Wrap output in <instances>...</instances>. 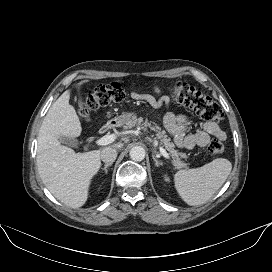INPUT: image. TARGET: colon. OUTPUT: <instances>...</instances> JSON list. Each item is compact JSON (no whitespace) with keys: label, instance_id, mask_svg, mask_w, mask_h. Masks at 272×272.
Returning <instances> with one entry per match:
<instances>
[{"label":"colon","instance_id":"obj_1","mask_svg":"<svg viewBox=\"0 0 272 272\" xmlns=\"http://www.w3.org/2000/svg\"><path fill=\"white\" fill-rule=\"evenodd\" d=\"M172 94L177 102L192 109L205 120L220 121L223 118L222 109L216 102L185 82L176 83ZM125 97L126 91L118 82L99 85L87 94L86 101L82 105L80 112L84 115L91 110L121 102ZM223 150L222 142L217 139L210 141L207 146V153L210 156H217Z\"/></svg>","mask_w":272,"mask_h":272}]
</instances>
